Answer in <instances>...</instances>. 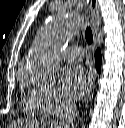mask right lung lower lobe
<instances>
[{
    "label": "right lung lower lobe",
    "instance_id": "obj_1",
    "mask_svg": "<svg viewBox=\"0 0 125 128\" xmlns=\"http://www.w3.org/2000/svg\"><path fill=\"white\" fill-rule=\"evenodd\" d=\"M95 63H96L97 72H100V66H101V51H100V49L96 50Z\"/></svg>",
    "mask_w": 125,
    "mask_h": 128
}]
</instances>
